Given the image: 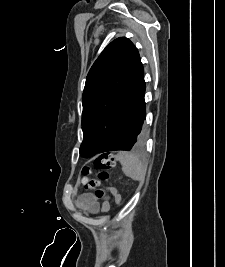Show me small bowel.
Instances as JSON below:
<instances>
[{
    "instance_id": "1",
    "label": "small bowel",
    "mask_w": 225,
    "mask_h": 267,
    "mask_svg": "<svg viewBox=\"0 0 225 267\" xmlns=\"http://www.w3.org/2000/svg\"><path fill=\"white\" fill-rule=\"evenodd\" d=\"M111 192L115 195L116 199L120 200V195L114 188H111ZM76 205L80 209L88 210L89 212L95 213L99 209V203L97 196L92 190H87L76 196Z\"/></svg>"
}]
</instances>
